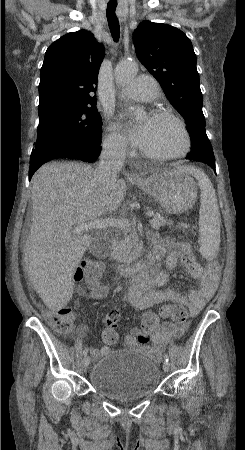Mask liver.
I'll use <instances>...</instances> for the list:
<instances>
[{
	"mask_svg": "<svg viewBox=\"0 0 245 450\" xmlns=\"http://www.w3.org/2000/svg\"><path fill=\"white\" fill-rule=\"evenodd\" d=\"M32 225L24 247L26 272L44 304L52 311L72 298L73 276L92 243L91 235L73 229L115 212L126 195L117 179L109 190L95 170L75 162L41 166L32 178Z\"/></svg>",
	"mask_w": 245,
	"mask_h": 450,
	"instance_id": "liver-1",
	"label": "liver"
}]
</instances>
